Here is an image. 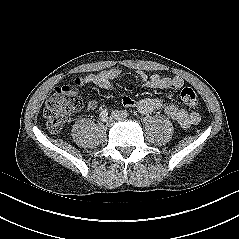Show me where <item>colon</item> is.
I'll return each mask as SVG.
<instances>
[{
	"instance_id": "obj_1",
	"label": "colon",
	"mask_w": 239,
	"mask_h": 239,
	"mask_svg": "<svg viewBox=\"0 0 239 239\" xmlns=\"http://www.w3.org/2000/svg\"><path fill=\"white\" fill-rule=\"evenodd\" d=\"M180 96L188 107L194 108L198 105L197 94L191 87L182 88ZM81 106L82 100L73 86L64 85L55 88L43 109L48 130L52 133L60 132Z\"/></svg>"
}]
</instances>
